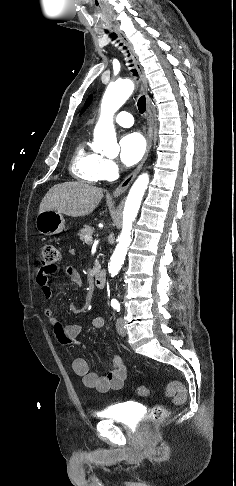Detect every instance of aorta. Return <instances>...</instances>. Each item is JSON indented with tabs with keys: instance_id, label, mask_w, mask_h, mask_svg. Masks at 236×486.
<instances>
[{
	"instance_id": "1",
	"label": "aorta",
	"mask_w": 236,
	"mask_h": 486,
	"mask_svg": "<svg viewBox=\"0 0 236 486\" xmlns=\"http://www.w3.org/2000/svg\"><path fill=\"white\" fill-rule=\"evenodd\" d=\"M134 90V84L126 79L110 83L103 95L101 103V116L94 129V141L92 148L95 152L109 155L118 152L116 132L113 125L114 113L126 102ZM149 184V175L141 174L132 185L126 199L123 211V227L118 244L108 265L112 277L120 271L127 248L131 243L132 224L138 214L145 190Z\"/></svg>"
}]
</instances>
